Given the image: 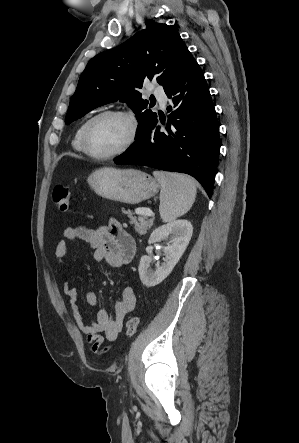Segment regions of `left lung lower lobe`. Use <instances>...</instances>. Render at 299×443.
Masks as SVG:
<instances>
[{"label": "left lung lower lobe", "mask_w": 299, "mask_h": 443, "mask_svg": "<svg viewBox=\"0 0 299 443\" xmlns=\"http://www.w3.org/2000/svg\"><path fill=\"white\" fill-rule=\"evenodd\" d=\"M165 93L172 100L167 123L157 117L114 162L189 174L211 197L220 150L219 126L198 63Z\"/></svg>", "instance_id": "obj_1"}]
</instances>
